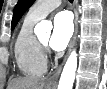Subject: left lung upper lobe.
<instances>
[{
  "label": "left lung upper lobe",
  "mask_w": 107,
  "mask_h": 89,
  "mask_svg": "<svg viewBox=\"0 0 107 89\" xmlns=\"http://www.w3.org/2000/svg\"><path fill=\"white\" fill-rule=\"evenodd\" d=\"M35 0H18L17 5L14 8L11 30L15 28L17 22L20 20L26 10L34 3Z\"/></svg>",
  "instance_id": "1"
}]
</instances>
